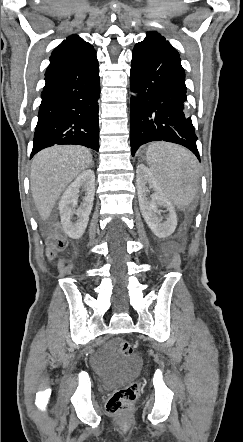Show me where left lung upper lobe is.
<instances>
[{
	"mask_svg": "<svg viewBox=\"0 0 243 442\" xmlns=\"http://www.w3.org/2000/svg\"><path fill=\"white\" fill-rule=\"evenodd\" d=\"M150 33H154V34H157L156 32H149L148 34H150Z\"/></svg>",
	"mask_w": 243,
	"mask_h": 442,
	"instance_id": "1",
	"label": "left lung upper lobe"
}]
</instances>
